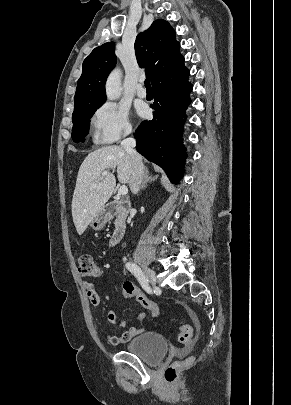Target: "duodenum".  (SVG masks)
Instances as JSON below:
<instances>
[{
  "label": "duodenum",
  "mask_w": 291,
  "mask_h": 405,
  "mask_svg": "<svg viewBox=\"0 0 291 405\" xmlns=\"http://www.w3.org/2000/svg\"><path fill=\"white\" fill-rule=\"evenodd\" d=\"M130 209V202L126 199L112 201L105 206V217H114L116 219L115 227L109 240L111 246L117 245L123 239L126 231V217Z\"/></svg>",
  "instance_id": "obj_1"
}]
</instances>
